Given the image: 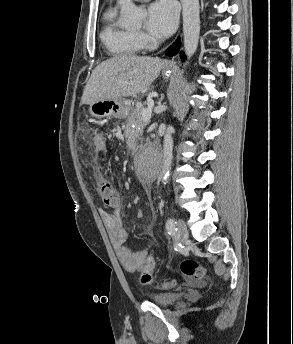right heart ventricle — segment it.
Instances as JSON below:
<instances>
[{
  "instance_id": "1",
  "label": "right heart ventricle",
  "mask_w": 293,
  "mask_h": 344,
  "mask_svg": "<svg viewBox=\"0 0 293 344\" xmlns=\"http://www.w3.org/2000/svg\"><path fill=\"white\" fill-rule=\"evenodd\" d=\"M116 9L108 7L103 13L101 40L108 52L114 56L131 57L141 51L135 32L121 27L116 21Z\"/></svg>"
}]
</instances>
